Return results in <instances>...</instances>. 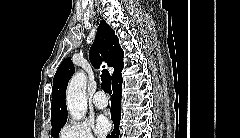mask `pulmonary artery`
Instances as JSON below:
<instances>
[{"mask_svg":"<svg viewBox=\"0 0 240 138\" xmlns=\"http://www.w3.org/2000/svg\"><path fill=\"white\" fill-rule=\"evenodd\" d=\"M93 103L99 109L105 108L108 104V101L106 99L104 92H102V91L96 92L93 95Z\"/></svg>","mask_w":240,"mask_h":138,"instance_id":"e3ab8cb5","label":"pulmonary artery"}]
</instances>
